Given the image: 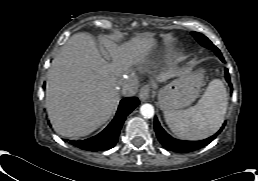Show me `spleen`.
<instances>
[{
  "instance_id": "3e777b00",
  "label": "spleen",
  "mask_w": 258,
  "mask_h": 181,
  "mask_svg": "<svg viewBox=\"0 0 258 181\" xmlns=\"http://www.w3.org/2000/svg\"><path fill=\"white\" fill-rule=\"evenodd\" d=\"M227 106L226 88L221 80L214 79L195 106L185 110L164 111V118L178 137L186 140L203 139L221 127Z\"/></svg>"
}]
</instances>
